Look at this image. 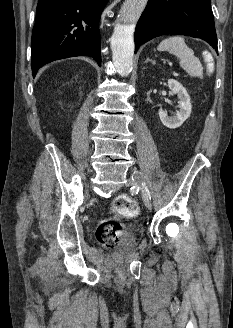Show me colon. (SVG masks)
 <instances>
[{
	"label": "colon",
	"instance_id": "colon-1",
	"mask_svg": "<svg viewBox=\"0 0 233 328\" xmlns=\"http://www.w3.org/2000/svg\"><path fill=\"white\" fill-rule=\"evenodd\" d=\"M206 61L210 69L212 65L210 56H206ZM111 211L118 217L133 218L138 214L139 207L133 198L127 195H120L114 200ZM125 234V229L114 218L102 221L96 230L98 241L109 249L119 247Z\"/></svg>",
	"mask_w": 233,
	"mask_h": 328
}]
</instances>
